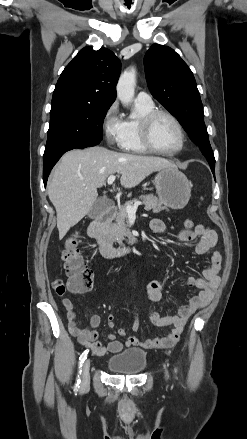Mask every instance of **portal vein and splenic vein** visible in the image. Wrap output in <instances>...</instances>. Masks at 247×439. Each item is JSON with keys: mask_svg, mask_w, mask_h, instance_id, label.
Returning <instances> with one entry per match:
<instances>
[{"mask_svg": "<svg viewBox=\"0 0 247 439\" xmlns=\"http://www.w3.org/2000/svg\"><path fill=\"white\" fill-rule=\"evenodd\" d=\"M115 179H116L115 175H110L108 177V179H107V183L109 185H111V184H113ZM139 205H142V203L141 202H135L134 205H127L126 206V212H127L128 216H135L136 210H137Z\"/></svg>", "mask_w": 247, "mask_h": 439, "instance_id": "obj_1", "label": "portal vein and splenic vein"}]
</instances>
